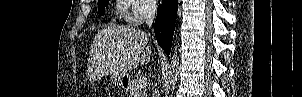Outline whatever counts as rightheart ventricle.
Instances as JSON below:
<instances>
[{
	"mask_svg": "<svg viewBox=\"0 0 302 97\" xmlns=\"http://www.w3.org/2000/svg\"><path fill=\"white\" fill-rule=\"evenodd\" d=\"M124 2L125 1H121V5L118 8L121 15H126L128 12V4H125Z\"/></svg>",
	"mask_w": 302,
	"mask_h": 97,
	"instance_id": "e07e8e85",
	"label": "right heart ventricle"
}]
</instances>
